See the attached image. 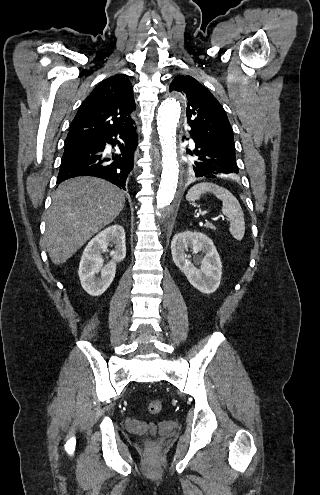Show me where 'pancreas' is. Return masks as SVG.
I'll return each instance as SVG.
<instances>
[{
    "label": "pancreas",
    "mask_w": 320,
    "mask_h": 495,
    "mask_svg": "<svg viewBox=\"0 0 320 495\" xmlns=\"http://www.w3.org/2000/svg\"><path fill=\"white\" fill-rule=\"evenodd\" d=\"M205 227L206 228H210L212 230H216V227L213 224H211V223L206 224Z\"/></svg>",
    "instance_id": "pancreas-1"
}]
</instances>
